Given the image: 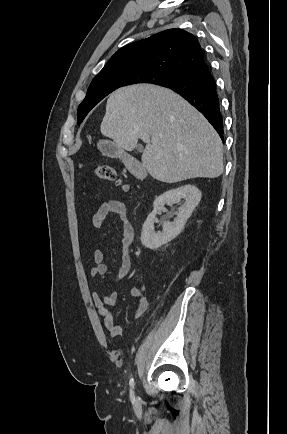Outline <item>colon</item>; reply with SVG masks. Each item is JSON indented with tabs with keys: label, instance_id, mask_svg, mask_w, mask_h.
Listing matches in <instances>:
<instances>
[{
	"label": "colon",
	"instance_id": "colon-1",
	"mask_svg": "<svg viewBox=\"0 0 287 434\" xmlns=\"http://www.w3.org/2000/svg\"><path fill=\"white\" fill-rule=\"evenodd\" d=\"M96 176L103 181L120 183L115 169L109 164L98 165L95 169Z\"/></svg>",
	"mask_w": 287,
	"mask_h": 434
}]
</instances>
